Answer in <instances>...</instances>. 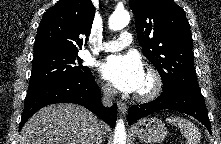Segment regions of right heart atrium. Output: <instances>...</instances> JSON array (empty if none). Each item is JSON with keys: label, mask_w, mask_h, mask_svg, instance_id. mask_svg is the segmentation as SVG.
<instances>
[{"label": "right heart atrium", "mask_w": 221, "mask_h": 144, "mask_svg": "<svg viewBox=\"0 0 221 144\" xmlns=\"http://www.w3.org/2000/svg\"><path fill=\"white\" fill-rule=\"evenodd\" d=\"M102 92L105 94V95H110L112 93V88L110 85L108 84H104L102 85Z\"/></svg>", "instance_id": "d8ad5b80"}]
</instances>
